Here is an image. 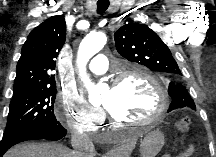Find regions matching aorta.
Instances as JSON below:
<instances>
[{
    "label": "aorta",
    "mask_w": 216,
    "mask_h": 157,
    "mask_svg": "<svg viewBox=\"0 0 216 157\" xmlns=\"http://www.w3.org/2000/svg\"><path fill=\"white\" fill-rule=\"evenodd\" d=\"M106 44V36L103 33L89 34L80 43L77 52V65L79 75L88 90V98L91 103L100 101V88L94 85L86 73L88 61L97 54Z\"/></svg>",
    "instance_id": "1"
}]
</instances>
